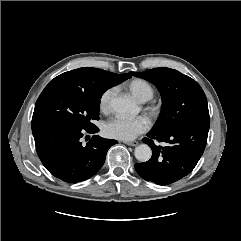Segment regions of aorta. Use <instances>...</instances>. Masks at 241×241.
<instances>
[{"label":"aorta","instance_id":"aorta-1","mask_svg":"<svg viewBox=\"0 0 241 241\" xmlns=\"http://www.w3.org/2000/svg\"><path fill=\"white\" fill-rule=\"evenodd\" d=\"M111 108L118 114L128 115L138 112V106L127 97H116L110 102ZM135 158L140 162L150 160L152 150L147 144H141L135 148Z\"/></svg>","mask_w":241,"mask_h":241}]
</instances>
